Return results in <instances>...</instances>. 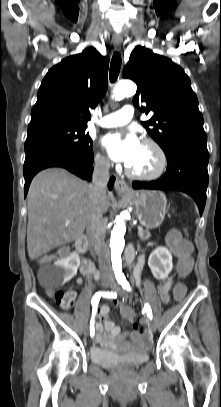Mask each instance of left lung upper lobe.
<instances>
[{
	"mask_svg": "<svg viewBox=\"0 0 221 407\" xmlns=\"http://www.w3.org/2000/svg\"><path fill=\"white\" fill-rule=\"evenodd\" d=\"M122 75L137 83L133 103L137 108L146 104L140 110L152 117L142 125L164 152L181 135H206L191 82L172 60L137 46Z\"/></svg>",
	"mask_w": 221,
	"mask_h": 407,
	"instance_id": "left-lung-upper-lobe-1",
	"label": "left lung upper lobe"
}]
</instances>
